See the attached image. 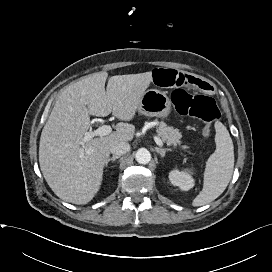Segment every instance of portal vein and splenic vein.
Returning a JSON list of instances; mask_svg holds the SVG:
<instances>
[{
    "label": "portal vein and splenic vein",
    "instance_id": "18ae733b",
    "mask_svg": "<svg viewBox=\"0 0 272 272\" xmlns=\"http://www.w3.org/2000/svg\"><path fill=\"white\" fill-rule=\"evenodd\" d=\"M112 132V128L109 125H102L99 128H97L94 131L88 132L85 134V136L82 139V144L85 142L90 141L91 139H93L96 136H106L109 135ZM154 140L156 142L157 145L159 146H163V142L159 137H154Z\"/></svg>",
    "mask_w": 272,
    "mask_h": 272
}]
</instances>
